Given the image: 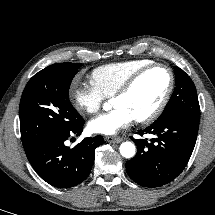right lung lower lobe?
<instances>
[{"label":"right lung lower lobe","instance_id":"98d812e1","mask_svg":"<svg viewBox=\"0 0 215 215\" xmlns=\"http://www.w3.org/2000/svg\"><path fill=\"white\" fill-rule=\"evenodd\" d=\"M83 124L81 118L71 129L26 152L36 173L47 183L58 188H69L78 185L89 175L95 149L103 143V137L85 138L73 148L65 145L72 134L80 135Z\"/></svg>","mask_w":215,"mask_h":215}]
</instances>
